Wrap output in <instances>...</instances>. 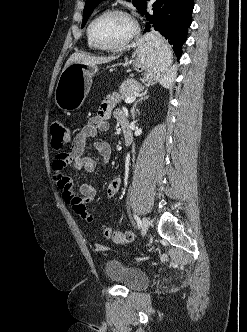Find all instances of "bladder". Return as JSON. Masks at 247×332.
<instances>
[{
  "label": "bladder",
  "mask_w": 247,
  "mask_h": 332,
  "mask_svg": "<svg viewBox=\"0 0 247 332\" xmlns=\"http://www.w3.org/2000/svg\"><path fill=\"white\" fill-rule=\"evenodd\" d=\"M107 278L129 290H141L148 285V277L141 269L128 266L116 259L105 263Z\"/></svg>",
  "instance_id": "bladder-1"
}]
</instances>
